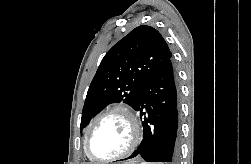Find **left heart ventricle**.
<instances>
[{
  "instance_id": "b2bd125f",
  "label": "left heart ventricle",
  "mask_w": 251,
  "mask_h": 164,
  "mask_svg": "<svg viewBox=\"0 0 251 164\" xmlns=\"http://www.w3.org/2000/svg\"><path fill=\"white\" fill-rule=\"evenodd\" d=\"M131 128L120 113L104 117L95 128L91 142V153L97 158H108L123 152L130 143Z\"/></svg>"
}]
</instances>
